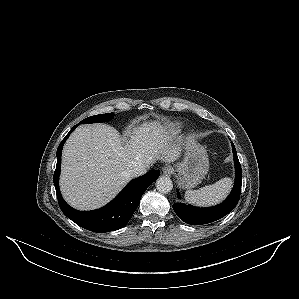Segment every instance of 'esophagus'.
Wrapping results in <instances>:
<instances>
[{
	"label": "esophagus",
	"instance_id": "34e87169",
	"mask_svg": "<svg viewBox=\"0 0 299 299\" xmlns=\"http://www.w3.org/2000/svg\"><path fill=\"white\" fill-rule=\"evenodd\" d=\"M174 172V169L172 166L170 165H167V166H164L163 169H162V173L164 176H171Z\"/></svg>",
	"mask_w": 299,
	"mask_h": 299
}]
</instances>
